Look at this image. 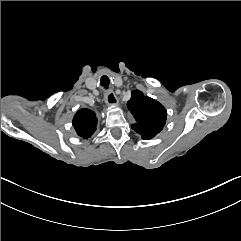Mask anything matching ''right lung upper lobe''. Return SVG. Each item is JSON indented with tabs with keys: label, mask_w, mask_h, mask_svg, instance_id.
<instances>
[{
	"label": "right lung upper lobe",
	"mask_w": 241,
	"mask_h": 241,
	"mask_svg": "<svg viewBox=\"0 0 241 241\" xmlns=\"http://www.w3.org/2000/svg\"><path fill=\"white\" fill-rule=\"evenodd\" d=\"M73 126L79 136L91 137L97 126L95 113L89 109L79 110L73 118Z\"/></svg>",
	"instance_id": "cb5924a9"
}]
</instances>
